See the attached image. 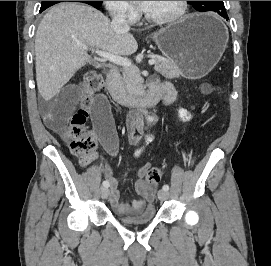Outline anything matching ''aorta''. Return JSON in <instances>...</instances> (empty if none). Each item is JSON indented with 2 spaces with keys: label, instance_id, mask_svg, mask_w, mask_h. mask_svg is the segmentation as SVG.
<instances>
[{
  "label": "aorta",
  "instance_id": "1",
  "mask_svg": "<svg viewBox=\"0 0 271 266\" xmlns=\"http://www.w3.org/2000/svg\"><path fill=\"white\" fill-rule=\"evenodd\" d=\"M148 121H149V122H152V121H153V119H152V118H150V117H148Z\"/></svg>",
  "mask_w": 271,
  "mask_h": 266
}]
</instances>
